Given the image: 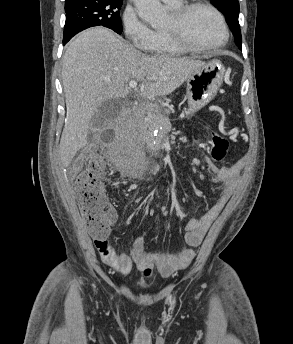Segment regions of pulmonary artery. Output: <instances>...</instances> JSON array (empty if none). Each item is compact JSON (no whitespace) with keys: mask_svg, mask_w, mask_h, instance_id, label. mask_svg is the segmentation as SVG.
Returning a JSON list of instances; mask_svg holds the SVG:
<instances>
[{"mask_svg":"<svg viewBox=\"0 0 293 344\" xmlns=\"http://www.w3.org/2000/svg\"><path fill=\"white\" fill-rule=\"evenodd\" d=\"M163 2L169 4V5H175L179 3L181 0H162Z\"/></svg>","mask_w":293,"mask_h":344,"instance_id":"e3ab8cb5","label":"pulmonary artery"}]
</instances>
